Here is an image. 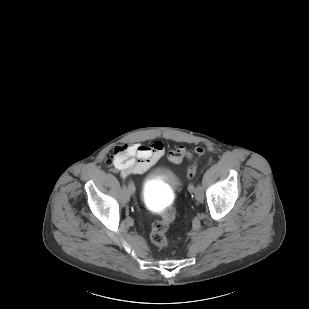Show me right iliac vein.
<instances>
[{
  "label": "right iliac vein",
  "mask_w": 309,
  "mask_h": 309,
  "mask_svg": "<svg viewBox=\"0 0 309 309\" xmlns=\"http://www.w3.org/2000/svg\"><path fill=\"white\" fill-rule=\"evenodd\" d=\"M135 190V189H134ZM134 192H129V189L127 188L125 194H124V198L126 201H128L130 199V195H132Z\"/></svg>",
  "instance_id": "right-iliac-vein-1"
}]
</instances>
